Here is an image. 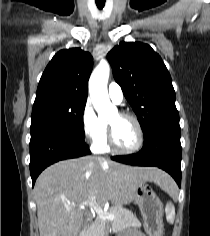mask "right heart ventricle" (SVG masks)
Wrapping results in <instances>:
<instances>
[{
	"label": "right heart ventricle",
	"mask_w": 210,
	"mask_h": 236,
	"mask_svg": "<svg viewBox=\"0 0 210 236\" xmlns=\"http://www.w3.org/2000/svg\"><path fill=\"white\" fill-rule=\"evenodd\" d=\"M93 150L96 153H108L110 151L108 142H107V134H105L100 140L93 144Z\"/></svg>",
	"instance_id": "right-heart-ventricle-1"
}]
</instances>
